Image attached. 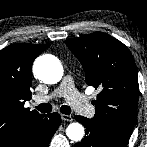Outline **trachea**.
Masks as SVG:
<instances>
[{"label":"trachea","instance_id":"1","mask_svg":"<svg viewBox=\"0 0 147 147\" xmlns=\"http://www.w3.org/2000/svg\"><path fill=\"white\" fill-rule=\"evenodd\" d=\"M36 109H38L42 113H49L52 111V105L50 103H43L36 106ZM60 112L65 115H70L71 108L67 105H62L60 107Z\"/></svg>","mask_w":147,"mask_h":147}]
</instances>
